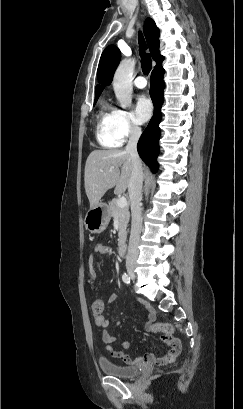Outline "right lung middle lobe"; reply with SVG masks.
Masks as SVG:
<instances>
[{"mask_svg":"<svg viewBox=\"0 0 243 409\" xmlns=\"http://www.w3.org/2000/svg\"><path fill=\"white\" fill-rule=\"evenodd\" d=\"M97 100H98V97H95V101H94V104L97 102Z\"/></svg>","mask_w":243,"mask_h":409,"instance_id":"obj_1","label":"right lung middle lobe"}]
</instances>
